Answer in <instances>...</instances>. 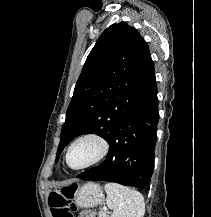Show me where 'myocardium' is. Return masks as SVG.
<instances>
[{
  "label": "myocardium",
  "instance_id": "f54148a6",
  "mask_svg": "<svg viewBox=\"0 0 211 217\" xmlns=\"http://www.w3.org/2000/svg\"><path fill=\"white\" fill-rule=\"evenodd\" d=\"M86 139H92L95 140L99 145H100V151L98 153V155L91 160L90 162L80 166V167H72L70 162H69V155H70V151L72 149V147L82 141V140H86ZM110 151V143L109 140L101 133L99 132H86L83 133L81 135H79L78 137H76L68 146L66 154H65V161L66 164L69 168H71L72 170H84L90 167H93L95 165H97L98 163H100L101 161H103L107 155L109 154Z\"/></svg>",
  "mask_w": 211,
  "mask_h": 217
}]
</instances>
